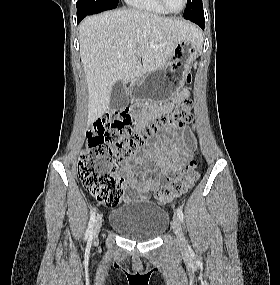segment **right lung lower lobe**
I'll list each match as a JSON object with an SVG mask.
<instances>
[{
  "label": "right lung lower lobe",
  "mask_w": 280,
  "mask_h": 285,
  "mask_svg": "<svg viewBox=\"0 0 280 285\" xmlns=\"http://www.w3.org/2000/svg\"><path fill=\"white\" fill-rule=\"evenodd\" d=\"M84 17H77V22L79 23Z\"/></svg>",
  "instance_id": "obj_1"
}]
</instances>
